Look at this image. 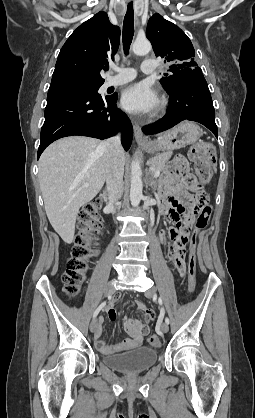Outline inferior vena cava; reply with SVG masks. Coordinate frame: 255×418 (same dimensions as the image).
<instances>
[{
	"label": "inferior vena cava",
	"mask_w": 255,
	"mask_h": 418,
	"mask_svg": "<svg viewBox=\"0 0 255 418\" xmlns=\"http://www.w3.org/2000/svg\"><path fill=\"white\" fill-rule=\"evenodd\" d=\"M105 149L104 164L106 171V185L108 191V205L113 207L114 203L121 198L123 193L124 162L122 159V147L120 136H114L102 143Z\"/></svg>",
	"instance_id": "602c4592"
}]
</instances>
